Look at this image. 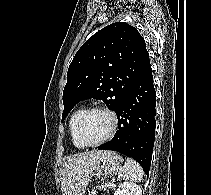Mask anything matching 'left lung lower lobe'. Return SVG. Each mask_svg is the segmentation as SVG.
I'll list each match as a JSON object with an SVG mask.
<instances>
[{"mask_svg":"<svg viewBox=\"0 0 211 195\" xmlns=\"http://www.w3.org/2000/svg\"><path fill=\"white\" fill-rule=\"evenodd\" d=\"M119 128L98 149L113 150L136 160L149 174L156 127V92L151 65L128 92L116 111Z\"/></svg>","mask_w":211,"mask_h":195,"instance_id":"0a47b994","label":"left lung lower lobe"}]
</instances>
